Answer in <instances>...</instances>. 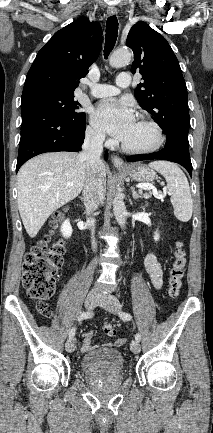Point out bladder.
<instances>
[{
  "mask_svg": "<svg viewBox=\"0 0 213 433\" xmlns=\"http://www.w3.org/2000/svg\"><path fill=\"white\" fill-rule=\"evenodd\" d=\"M124 368V359L120 350L101 348L82 356L81 371L90 376L119 373Z\"/></svg>",
  "mask_w": 213,
  "mask_h": 433,
  "instance_id": "bladder-1",
  "label": "bladder"
}]
</instances>
